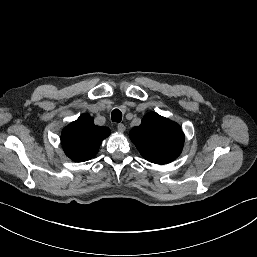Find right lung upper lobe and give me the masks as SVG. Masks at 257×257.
I'll return each mask as SVG.
<instances>
[{
    "instance_id": "right-lung-upper-lobe-1",
    "label": "right lung upper lobe",
    "mask_w": 257,
    "mask_h": 257,
    "mask_svg": "<svg viewBox=\"0 0 257 257\" xmlns=\"http://www.w3.org/2000/svg\"><path fill=\"white\" fill-rule=\"evenodd\" d=\"M109 135V128L95 125L90 115L83 114L63 129L61 143L70 159L83 162L96 155L100 144Z\"/></svg>"
}]
</instances>
